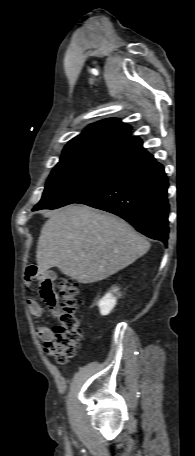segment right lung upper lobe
I'll list each match as a JSON object with an SVG mask.
<instances>
[{
	"label": "right lung upper lobe",
	"instance_id": "obj_1",
	"mask_svg": "<svg viewBox=\"0 0 195 456\" xmlns=\"http://www.w3.org/2000/svg\"><path fill=\"white\" fill-rule=\"evenodd\" d=\"M130 129L115 118L91 124L69 141L59 163L86 161L125 169L150 156L140 138L129 136Z\"/></svg>",
	"mask_w": 195,
	"mask_h": 456
}]
</instances>
